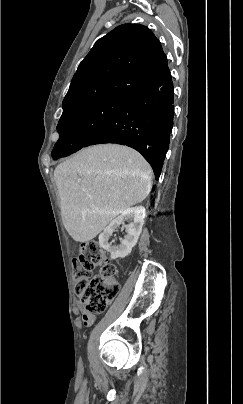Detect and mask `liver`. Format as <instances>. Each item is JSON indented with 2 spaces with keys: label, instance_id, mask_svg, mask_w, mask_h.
<instances>
[{
  "label": "liver",
  "instance_id": "obj_1",
  "mask_svg": "<svg viewBox=\"0 0 243 404\" xmlns=\"http://www.w3.org/2000/svg\"><path fill=\"white\" fill-rule=\"evenodd\" d=\"M152 170L136 150L118 144L83 148L54 170L62 222L75 242H90L152 188Z\"/></svg>",
  "mask_w": 243,
  "mask_h": 404
}]
</instances>
